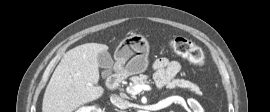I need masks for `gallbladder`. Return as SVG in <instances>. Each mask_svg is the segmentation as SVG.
<instances>
[{
	"label": "gallbladder",
	"mask_w": 270,
	"mask_h": 112,
	"mask_svg": "<svg viewBox=\"0 0 270 112\" xmlns=\"http://www.w3.org/2000/svg\"><path fill=\"white\" fill-rule=\"evenodd\" d=\"M99 61L101 65L103 66L104 71H106V73H109L111 70V59L109 55L105 52L101 53L99 55Z\"/></svg>",
	"instance_id": "obj_1"
}]
</instances>
